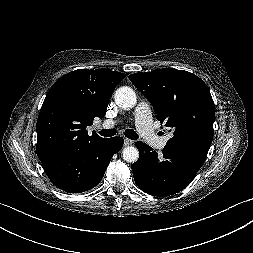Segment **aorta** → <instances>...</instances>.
Returning a JSON list of instances; mask_svg holds the SVG:
<instances>
[{
    "label": "aorta",
    "mask_w": 253,
    "mask_h": 253,
    "mask_svg": "<svg viewBox=\"0 0 253 253\" xmlns=\"http://www.w3.org/2000/svg\"><path fill=\"white\" fill-rule=\"evenodd\" d=\"M114 99L116 104L123 109H131L137 103V97L134 90L130 87L123 86L116 90ZM122 157L126 162L134 163L139 158V151L136 147L128 146L122 151Z\"/></svg>",
    "instance_id": "obj_1"
}]
</instances>
